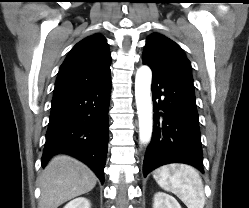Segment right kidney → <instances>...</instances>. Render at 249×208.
<instances>
[{
	"instance_id": "1",
	"label": "right kidney",
	"mask_w": 249,
	"mask_h": 208,
	"mask_svg": "<svg viewBox=\"0 0 249 208\" xmlns=\"http://www.w3.org/2000/svg\"><path fill=\"white\" fill-rule=\"evenodd\" d=\"M63 208H90V202L84 197H79L70 201Z\"/></svg>"
}]
</instances>
